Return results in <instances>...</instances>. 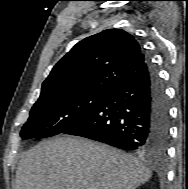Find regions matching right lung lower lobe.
Wrapping results in <instances>:
<instances>
[{
	"label": "right lung lower lobe",
	"mask_w": 188,
	"mask_h": 189,
	"mask_svg": "<svg viewBox=\"0 0 188 189\" xmlns=\"http://www.w3.org/2000/svg\"><path fill=\"white\" fill-rule=\"evenodd\" d=\"M147 59V73L113 91L65 134L86 137L123 150L165 153L170 116L163 85Z\"/></svg>",
	"instance_id": "98d812e1"
}]
</instances>
